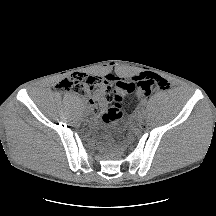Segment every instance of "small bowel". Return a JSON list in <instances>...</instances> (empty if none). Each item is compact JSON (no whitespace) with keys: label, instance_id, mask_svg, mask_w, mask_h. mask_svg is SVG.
<instances>
[{"label":"small bowel","instance_id":"1","mask_svg":"<svg viewBox=\"0 0 216 216\" xmlns=\"http://www.w3.org/2000/svg\"><path fill=\"white\" fill-rule=\"evenodd\" d=\"M106 78H107L110 82H113V83H117V82L120 81V79H121V78L116 77V76H114V75H112V74H108V75L106 76ZM93 110H94V108H93ZM94 112H95V113H98V112H96L95 110H94Z\"/></svg>","mask_w":216,"mask_h":216}]
</instances>
